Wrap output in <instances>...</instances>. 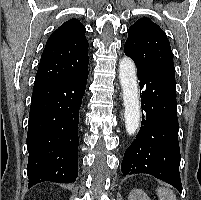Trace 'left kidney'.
I'll return each instance as SVG.
<instances>
[{
    "label": "left kidney",
    "mask_w": 201,
    "mask_h": 200,
    "mask_svg": "<svg viewBox=\"0 0 201 200\" xmlns=\"http://www.w3.org/2000/svg\"><path fill=\"white\" fill-rule=\"evenodd\" d=\"M128 200H151L146 193L141 189H133L130 194Z\"/></svg>",
    "instance_id": "5707ae66"
}]
</instances>
